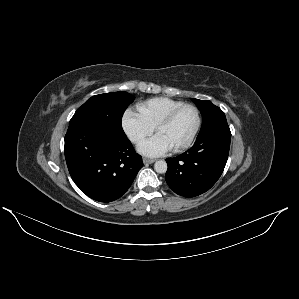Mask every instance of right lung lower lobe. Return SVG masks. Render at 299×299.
Here are the masks:
<instances>
[{
  "instance_id": "1",
  "label": "right lung lower lobe",
  "mask_w": 299,
  "mask_h": 299,
  "mask_svg": "<svg viewBox=\"0 0 299 299\" xmlns=\"http://www.w3.org/2000/svg\"><path fill=\"white\" fill-rule=\"evenodd\" d=\"M65 158L76 185L99 202L121 197L143 166L142 157L125 133H117L106 125L69 126Z\"/></svg>"
}]
</instances>
